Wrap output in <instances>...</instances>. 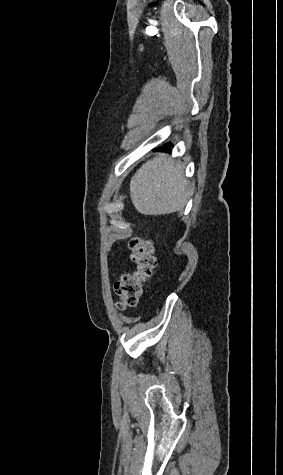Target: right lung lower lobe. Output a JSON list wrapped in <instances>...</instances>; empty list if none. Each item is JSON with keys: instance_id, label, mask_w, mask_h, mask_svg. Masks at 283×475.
Instances as JSON below:
<instances>
[{"instance_id": "1", "label": "right lung lower lobe", "mask_w": 283, "mask_h": 475, "mask_svg": "<svg viewBox=\"0 0 283 475\" xmlns=\"http://www.w3.org/2000/svg\"><path fill=\"white\" fill-rule=\"evenodd\" d=\"M164 149L162 150L161 148H157L156 150L158 151H165V152H170L171 151V145H170V142L169 143H166L163 145Z\"/></svg>"}]
</instances>
